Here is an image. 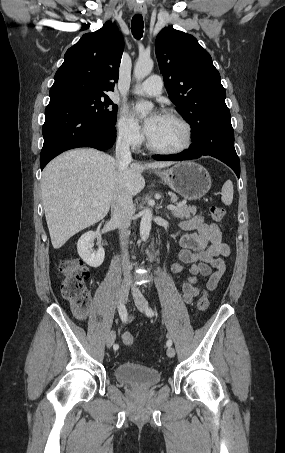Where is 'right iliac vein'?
Masks as SVG:
<instances>
[{
  "instance_id": "right-iliac-vein-1",
  "label": "right iliac vein",
  "mask_w": 285,
  "mask_h": 453,
  "mask_svg": "<svg viewBox=\"0 0 285 453\" xmlns=\"http://www.w3.org/2000/svg\"><path fill=\"white\" fill-rule=\"evenodd\" d=\"M130 285L128 283H122L119 289V302L125 303L129 295ZM116 335L114 331H110L106 338L107 348H111L114 344Z\"/></svg>"
}]
</instances>
